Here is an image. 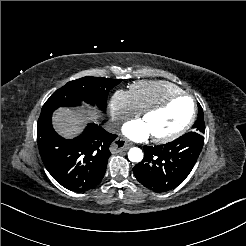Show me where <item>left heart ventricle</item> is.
<instances>
[{"label": "left heart ventricle", "instance_id": "1", "mask_svg": "<svg viewBox=\"0 0 246 246\" xmlns=\"http://www.w3.org/2000/svg\"><path fill=\"white\" fill-rule=\"evenodd\" d=\"M191 103L187 98H180L169 104L165 109L151 113L143 120L152 136L172 133L186 120Z\"/></svg>", "mask_w": 246, "mask_h": 246}]
</instances>
